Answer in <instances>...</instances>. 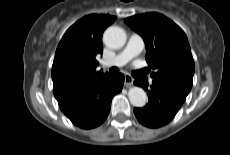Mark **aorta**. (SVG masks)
I'll list each match as a JSON object with an SVG mask.
<instances>
[{
	"label": "aorta",
	"instance_id": "aorta-1",
	"mask_svg": "<svg viewBox=\"0 0 230 155\" xmlns=\"http://www.w3.org/2000/svg\"><path fill=\"white\" fill-rule=\"evenodd\" d=\"M103 41L110 48H121L126 42V33L118 26H111L105 30ZM128 97L131 104L135 107H143L147 103V95L140 87L134 86L130 88Z\"/></svg>",
	"mask_w": 230,
	"mask_h": 155
}]
</instances>
